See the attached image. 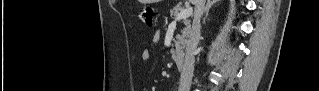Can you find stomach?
Returning <instances> with one entry per match:
<instances>
[{
    "mask_svg": "<svg viewBox=\"0 0 319 91\" xmlns=\"http://www.w3.org/2000/svg\"><path fill=\"white\" fill-rule=\"evenodd\" d=\"M155 0H144V2H154Z\"/></svg>",
    "mask_w": 319,
    "mask_h": 91,
    "instance_id": "obj_1",
    "label": "stomach"
}]
</instances>
